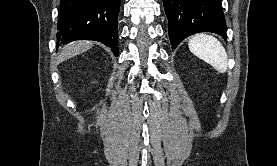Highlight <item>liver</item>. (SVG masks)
Returning <instances> with one entry per match:
<instances>
[{
	"label": "liver",
	"instance_id": "liver-1",
	"mask_svg": "<svg viewBox=\"0 0 277 166\" xmlns=\"http://www.w3.org/2000/svg\"><path fill=\"white\" fill-rule=\"evenodd\" d=\"M93 46L92 42L89 41H74L68 45H66L61 54L58 57V63L69 58L75 57Z\"/></svg>",
	"mask_w": 277,
	"mask_h": 166
}]
</instances>
